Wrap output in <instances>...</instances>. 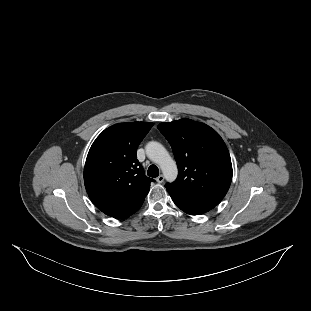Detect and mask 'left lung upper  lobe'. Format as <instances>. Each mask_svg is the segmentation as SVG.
<instances>
[{
  "label": "left lung upper lobe",
  "instance_id": "left-lung-upper-lobe-1",
  "mask_svg": "<svg viewBox=\"0 0 311 311\" xmlns=\"http://www.w3.org/2000/svg\"><path fill=\"white\" fill-rule=\"evenodd\" d=\"M158 129L170 143L178 166V177L165 185L167 191L216 206L232 180L230 155L220 135L186 118L163 122Z\"/></svg>",
  "mask_w": 311,
  "mask_h": 311
}]
</instances>
